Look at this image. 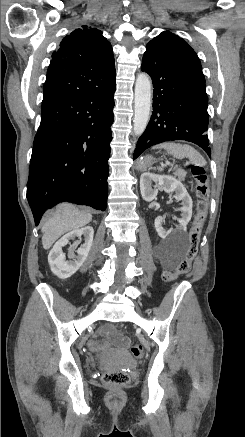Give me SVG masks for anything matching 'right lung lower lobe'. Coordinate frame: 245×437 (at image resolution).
<instances>
[{
    "label": "right lung lower lobe",
    "mask_w": 245,
    "mask_h": 437,
    "mask_svg": "<svg viewBox=\"0 0 245 437\" xmlns=\"http://www.w3.org/2000/svg\"><path fill=\"white\" fill-rule=\"evenodd\" d=\"M115 89L114 79L42 110L27 184L35 225L48 208L63 201L106 209Z\"/></svg>",
    "instance_id": "obj_1"
}]
</instances>
